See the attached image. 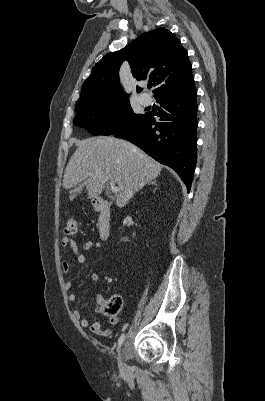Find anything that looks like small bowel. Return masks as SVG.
I'll list each match as a JSON object with an SVG mask.
<instances>
[{
  "label": "small bowel",
  "mask_w": 265,
  "mask_h": 401,
  "mask_svg": "<svg viewBox=\"0 0 265 401\" xmlns=\"http://www.w3.org/2000/svg\"><path fill=\"white\" fill-rule=\"evenodd\" d=\"M62 245L65 247H68L72 250L73 254L76 257V260L80 264H85L88 262L86 256L80 252L78 244L74 239H71L69 237H64L62 239ZM100 247H101V243L99 241L87 240L83 243L82 250H84V251L98 250V249H100ZM70 269H71V263L69 261H64L62 263V270H63L64 274H68ZM99 278L100 277L97 273H92L90 275V280L93 282H97L99 280ZM65 288L67 290L72 288V282L70 280H67L65 282ZM68 299L71 302H75L77 300V295L75 293L71 292L68 295ZM101 300L102 299L99 298V302ZM74 317L76 318V320L80 323V325L83 328L88 329L90 332H92L96 335H99L101 337H107L111 334V331L108 329H103L99 322L89 323L85 318H83V316L79 310H74ZM116 322H117V317L113 316L110 318L111 324H115Z\"/></svg>",
  "instance_id": "c3829d8e"
}]
</instances>
